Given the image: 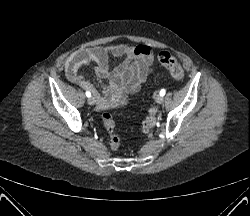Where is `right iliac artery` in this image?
I'll return each mask as SVG.
<instances>
[{
    "instance_id": "1",
    "label": "right iliac artery",
    "mask_w": 250,
    "mask_h": 216,
    "mask_svg": "<svg viewBox=\"0 0 250 216\" xmlns=\"http://www.w3.org/2000/svg\"><path fill=\"white\" fill-rule=\"evenodd\" d=\"M86 96L87 97H90L91 96V93L89 91H86Z\"/></svg>"
}]
</instances>
